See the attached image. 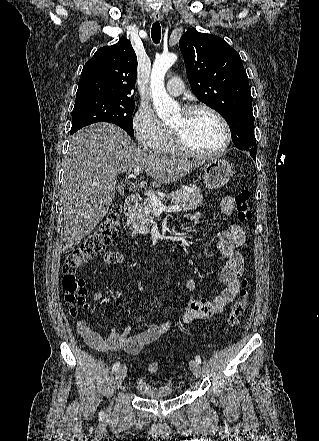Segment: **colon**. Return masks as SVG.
<instances>
[{"instance_id": "colon-1", "label": "colon", "mask_w": 319, "mask_h": 441, "mask_svg": "<svg viewBox=\"0 0 319 441\" xmlns=\"http://www.w3.org/2000/svg\"><path fill=\"white\" fill-rule=\"evenodd\" d=\"M234 203L239 220L241 222L250 221L252 217L250 192L248 190L238 192ZM119 223L120 210L118 207H113L98 226L66 257L63 266L62 288L65 300L70 305L71 315H75L79 308L87 307V288L80 276V269L92 257L104 251L105 247L116 236ZM239 295V300L232 306L228 315L227 328L235 327L246 310L249 299V285L246 279L241 282ZM147 368L150 373H156L160 368V364L158 361L152 360L148 363Z\"/></svg>"}]
</instances>
